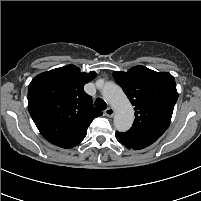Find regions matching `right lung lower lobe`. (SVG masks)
<instances>
[{"instance_id": "right-lung-lower-lobe-1", "label": "right lung lower lobe", "mask_w": 201, "mask_h": 201, "mask_svg": "<svg viewBox=\"0 0 201 201\" xmlns=\"http://www.w3.org/2000/svg\"><path fill=\"white\" fill-rule=\"evenodd\" d=\"M79 143H80V142H79ZM79 143H75V144H72V145L64 146L63 148H72V147L78 145Z\"/></svg>"}]
</instances>
